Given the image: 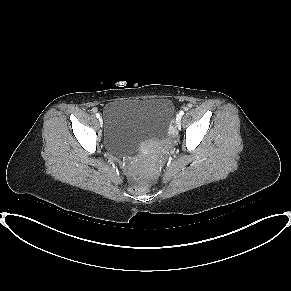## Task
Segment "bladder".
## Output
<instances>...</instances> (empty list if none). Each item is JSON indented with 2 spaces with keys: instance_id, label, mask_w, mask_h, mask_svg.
I'll return each instance as SVG.
<instances>
[{
  "instance_id": "bladder-1",
  "label": "bladder",
  "mask_w": 291,
  "mask_h": 291,
  "mask_svg": "<svg viewBox=\"0 0 291 291\" xmlns=\"http://www.w3.org/2000/svg\"><path fill=\"white\" fill-rule=\"evenodd\" d=\"M173 114L174 105L167 98L108 103L101 123L106 150L114 155H127L140 143L162 137Z\"/></svg>"
}]
</instances>
